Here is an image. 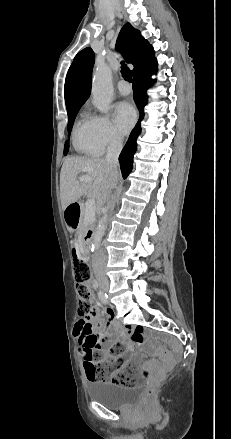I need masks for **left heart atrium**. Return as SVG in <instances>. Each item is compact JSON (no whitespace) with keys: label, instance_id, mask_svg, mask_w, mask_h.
<instances>
[{"label":"left heart atrium","instance_id":"39dd6f15","mask_svg":"<svg viewBox=\"0 0 231 439\" xmlns=\"http://www.w3.org/2000/svg\"><path fill=\"white\" fill-rule=\"evenodd\" d=\"M114 116L116 125L123 134L128 133L136 121L134 108L125 101L116 104Z\"/></svg>","mask_w":231,"mask_h":439}]
</instances>
